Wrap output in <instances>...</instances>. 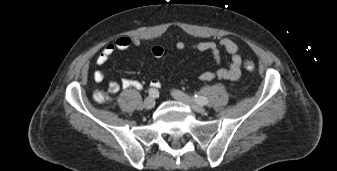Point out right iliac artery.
Returning a JSON list of instances; mask_svg holds the SVG:
<instances>
[{
    "label": "right iliac artery",
    "mask_w": 337,
    "mask_h": 171,
    "mask_svg": "<svg viewBox=\"0 0 337 171\" xmlns=\"http://www.w3.org/2000/svg\"><path fill=\"white\" fill-rule=\"evenodd\" d=\"M149 95L153 98H157L159 97V91L157 89L152 88L149 90Z\"/></svg>",
    "instance_id": "right-iliac-artery-1"
}]
</instances>
